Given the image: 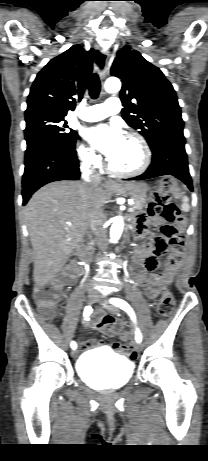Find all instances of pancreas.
<instances>
[{"instance_id":"cf45deb5","label":"pancreas","mask_w":208,"mask_h":461,"mask_svg":"<svg viewBox=\"0 0 208 461\" xmlns=\"http://www.w3.org/2000/svg\"><path fill=\"white\" fill-rule=\"evenodd\" d=\"M146 206V198L142 197L140 199H135L133 207V211L135 210H142Z\"/></svg>"}]
</instances>
